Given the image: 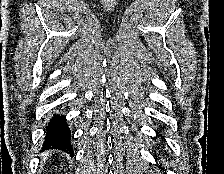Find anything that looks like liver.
Listing matches in <instances>:
<instances>
[{
	"label": "liver",
	"mask_w": 224,
	"mask_h": 174,
	"mask_svg": "<svg viewBox=\"0 0 224 174\" xmlns=\"http://www.w3.org/2000/svg\"><path fill=\"white\" fill-rule=\"evenodd\" d=\"M47 155H49V152H46V153L44 154V156H47Z\"/></svg>",
	"instance_id": "obj_1"
}]
</instances>
